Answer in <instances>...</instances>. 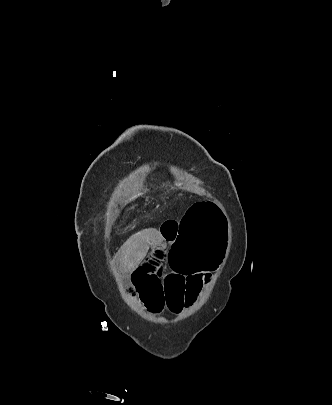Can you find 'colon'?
I'll use <instances>...</instances> for the list:
<instances>
[{
	"mask_svg": "<svg viewBox=\"0 0 332 405\" xmlns=\"http://www.w3.org/2000/svg\"><path fill=\"white\" fill-rule=\"evenodd\" d=\"M217 210V202H191L185 220H176V240L170 257L178 275H211L215 268H222L227 255L225 222Z\"/></svg>",
	"mask_w": 332,
	"mask_h": 405,
	"instance_id": "obj_1",
	"label": "colon"
}]
</instances>
